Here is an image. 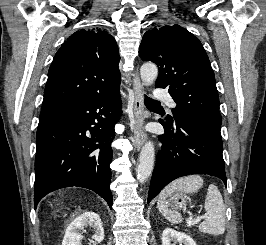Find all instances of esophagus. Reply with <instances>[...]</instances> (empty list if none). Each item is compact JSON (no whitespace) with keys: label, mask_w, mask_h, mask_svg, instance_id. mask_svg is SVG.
I'll return each mask as SVG.
<instances>
[{"label":"esophagus","mask_w":266,"mask_h":245,"mask_svg":"<svg viewBox=\"0 0 266 245\" xmlns=\"http://www.w3.org/2000/svg\"><path fill=\"white\" fill-rule=\"evenodd\" d=\"M133 75V93H134V144L137 150L143 146L147 134L144 131V121L146 118L143 103V85L140 81L138 71L135 70Z\"/></svg>","instance_id":"esophagus-1"}]
</instances>
